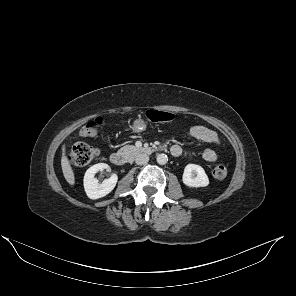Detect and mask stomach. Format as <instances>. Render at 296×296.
<instances>
[{
  "instance_id": "0dacf381",
  "label": "stomach",
  "mask_w": 296,
  "mask_h": 296,
  "mask_svg": "<svg viewBox=\"0 0 296 296\" xmlns=\"http://www.w3.org/2000/svg\"><path fill=\"white\" fill-rule=\"evenodd\" d=\"M146 127H147L146 122L139 118L134 121L132 130L133 132L138 133L146 130Z\"/></svg>"
}]
</instances>
